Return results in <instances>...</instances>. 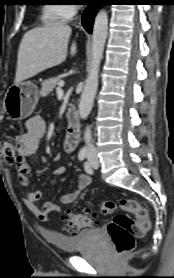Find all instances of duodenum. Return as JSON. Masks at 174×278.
<instances>
[{"label":"duodenum","mask_w":174,"mask_h":278,"mask_svg":"<svg viewBox=\"0 0 174 278\" xmlns=\"http://www.w3.org/2000/svg\"><path fill=\"white\" fill-rule=\"evenodd\" d=\"M67 117V130L65 136L66 146H71L79 139V117L74 108H69L66 112Z\"/></svg>","instance_id":"1"}]
</instances>
